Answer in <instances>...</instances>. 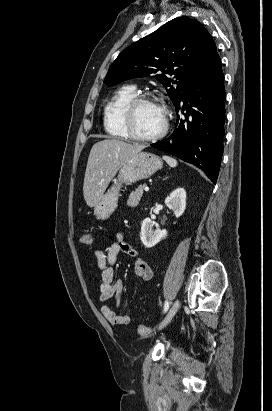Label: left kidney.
I'll use <instances>...</instances> for the list:
<instances>
[{"label": "left kidney", "instance_id": "obj_1", "mask_svg": "<svg viewBox=\"0 0 272 411\" xmlns=\"http://www.w3.org/2000/svg\"><path fill=\"white\" fill-rule=\"evenodd\" d=\"M166 206L174 211L176 217H180L186 208V191L184 188H177L166 199ZM166 230L153 229V222L150 218H145L142 222L140 239L145 247L151 248L167 236Z\"/></svg>", "mask_w": 272, "mask_h": 411}]
</instances>
